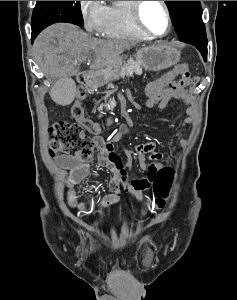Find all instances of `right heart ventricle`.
Returning a JSON list of instances; mask_svg holds the SVG:
<instances>
[{"mask_svg": "<svg viewBox=\"0 0 237 300\" xmlns=\"http://www.w3.org/2000/svg\"><path fill=\"white\" fill-rule=\"evenodd\" d=\"M133 1H114L107 7L104 34L108 36L145 37L134 21Z\"/></svg>", "mask_w": 237, "mask_h": 300, "instance_id": "obj_1", "label": "right heart ventricle"}]
</instances>
